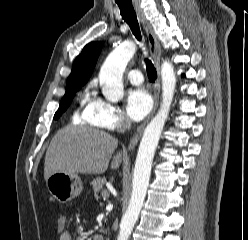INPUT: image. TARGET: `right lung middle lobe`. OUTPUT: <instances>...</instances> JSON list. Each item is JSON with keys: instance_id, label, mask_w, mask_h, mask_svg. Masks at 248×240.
Segmentation results:
<instances>
[{"instance_id": "1", "label": "right lung middle lobe", "mask_w": 248, "mask_h": 240, "mask_svg": "<svg viewBox=\"0 0 248 240\" xmlns=\"http://www.w3.org/2000/svg\"><path fill=\"white\" fill-rule=\"evenodd\" d=\"M83 86L79 81H69L66 84V93L61 100L58 111L54 115V119H58L61 114L67 109L75 93Z\"/></svg>"}]
</instances>
